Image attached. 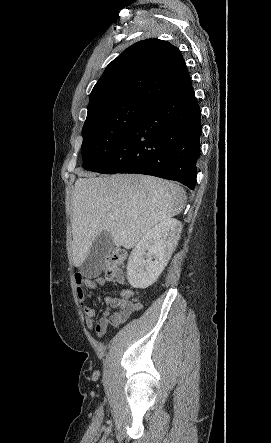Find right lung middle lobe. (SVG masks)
<instances>
[{"label": "right lung middle lobe", "mask_w": 271, "mask_h": 443, "mask_svg": "<svg viewBox=\"0 0 271 443\" xmlns=\"http://www.w3.org/2000/svg\"><path fill=\"white\" fill-rule=\"evenodd\" d=\"M151 102L123 99L93 109L82 130L83 167L94 171L114 153Z\"/></svg>", "instance_id": "right-lung-middle-lobe-1"}]
</instances>
